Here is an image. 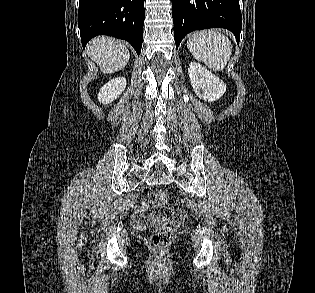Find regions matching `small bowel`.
<instances>
[{
  "instance_id": "c3829d8e",
  "label": "small bowel",
  "mask_w": 315,
  "mask_h": 293,
  "mask_svg": "<svg viewBox=\"0 0 315 293\" xmlns=\"http://www.w3.org/2000/svg\"><path fill=\"white\" fill-rule=\"evenodd\" d=\"M156 207L159 206L144 198L132 217L133 224L139 229H145L146 227H149L150 230H160V223L167 218L165 213L154 212L148 218H146L144 215L147 211Z\"/></svg>"
}]
</instances>
